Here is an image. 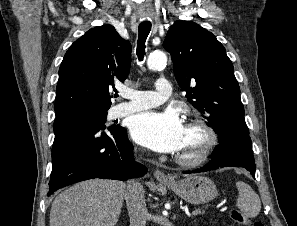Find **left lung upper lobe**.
<instances>
[{
    "mask_svg": "<svg viewBox=\"0 0 297 226\" xmlns=\"http://www.w3.org/2000/svg\"><path fill=\"white\" fill-rule=\"evenodd\" d=\"M163 46L172 56L181 90L219 141L250 138L233 64L216 37L197 23L176 21Z\"/></svg>",
    "mask_w": 297,
    "mask_h": 226,
    "instance_id": "obj_1",
    "label": "left lung upper lobe"
}]
</instances>
